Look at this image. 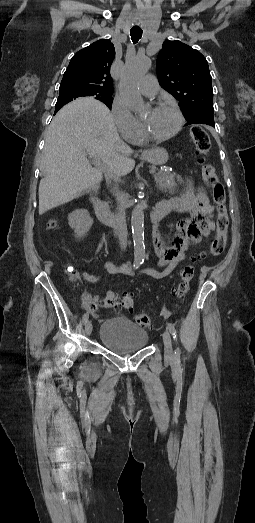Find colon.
<instances>
[{
  "mask_svg": "<svg viewBox=\"0 0 255 523\" xmlns=\"http://www.w3.org/2000/svg\"><path fill=\"white\" fill-rule=\"evenodd\" d=\"M191 138L195 144L197 153L199 154V163L201 165L202 178L210 189L212 198L216 209V234L211 239L208 250L201 251L192 257L191 263L185 265L180 271L179 278L174 286L173 295L178 301H181L186 296L191 280L194 276V263L197 260H201L206 255H219L221 254L226 246L227 231L229 226V217L226 206V192L224 185L220 181L216 170L213 165L206 162L205 157L208 154L211 142L208 133L200 126H194L191 129ZM56 227V221L51 220L48 223V228L53 229ZM69 273L72 278L76 277V272L69 268ZM103 306L106 308L123 307L126 310H133L134 298L131 293H125L122 297H118L117 294L109 292L103 298ZM86 305L90 309L96 308V302L93 300H87ZM135 321L142 327H150L152 320L151 317L146 313H138L135 315Z\"/></svg>",
  "mask_w": 255,
  "mask_h": 523,
  "instance_id": "5ec220e1",
  "label": "colon"
}]
</instances>
